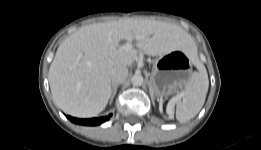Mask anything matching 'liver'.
I'll list each match as a JSON object with an SVG mask.
<instances>
[{"instance_id":"6515ba94","label":"liver","mask_w":261,"mask_h":150,"mask_svg":"<svg viewBox=\"0 0 261 150\" xmlns=\"http://www.w3.org/2000/svg\"><path fill=\"white\" fill-rule=\"evenodd\" d=\"M133 39L149 56L196 50L191 36L171 23L125 18L81 27L59 45L49 68L50 89L60 109L81 118L98 115L111 96L112 68L131 65L138 57L137 49L119 45Z\"/></svg>"}]
</instances>
